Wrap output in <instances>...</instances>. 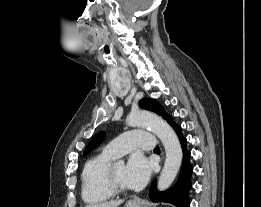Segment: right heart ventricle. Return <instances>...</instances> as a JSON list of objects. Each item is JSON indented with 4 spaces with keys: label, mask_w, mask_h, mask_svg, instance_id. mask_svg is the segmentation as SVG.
<instances>
[{
    "label": "right heart ventricle",
    "mask_w": 261,
    "mask_h": 207,
    "mask_svg": "<svg viewBox=\"0 0 261 207\" xmlns=\"http://www.w3.org/2000/svg\"><path fill=\"white\" fill-rule=\"evenodd\" d=\"M114 159L104 150L85 163L81 173V195L86 203H102L114 195L106 181L107 169Z\"/></svg>",
    "instance_id": "right-heart-ventricle-1"
}]
</instances>
